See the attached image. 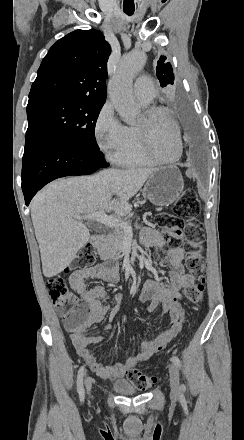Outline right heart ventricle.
Returning <instances> with one entry per match:
<instances>
[{"label": "right heart ventricle", "mask_w": 244, "mask_h": 440, "mask_svg": "<svg viewBox=\"0 0 244 440\" xmlns=\"http://www.w3.org/2000/svg\"><path fill=\"white\" fill-rule=\"evenodd\" d=\"M145 107L148 104H143ZM141 132L135 126L128 127V136L134 140V148L130 151H116L113 154L112 160L119 166L126 168H152L157 165L156 160L147 151V146L143 147L141 144ZM149 135V133H148ZM148 138V137H147ZM154 146H152V150Z\"/></svg>", "instance_id": "obj_1"}]
</instances>
